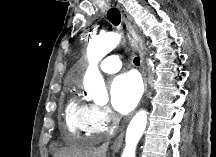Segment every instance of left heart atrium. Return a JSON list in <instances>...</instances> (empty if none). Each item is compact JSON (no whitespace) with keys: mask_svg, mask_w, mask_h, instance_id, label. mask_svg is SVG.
Masks as SVG:
<instances>
[{"mask_svg":"<svg viewBox=\"0 0 216 157\" xmlns=\"http://www.w3.org/2000/svg\"><path fill=\"white\" fill-rule=\"evenodd\" d=\"M141 84L132 73L115 77L110 85V99L113 108L120 114L131 112L141 96Z\"/></svg>","mask_w":216,"mask_h":157,"instance_id":"obj_1","label":"left heart atrium"}]
</instances>
